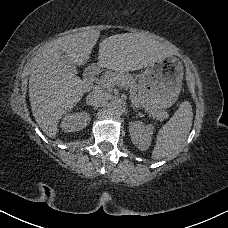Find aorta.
I'll use <instances>...</instances> for the list:
<instances>
[{
  "mask_svg": "<svg viewBox=\"0 0 228 228\" xmlns=\"http://www.w3.org/2000/svg\"><path fill=\"white\" fill-rule=\"evenodd\" d=\"M121 111H122V105L118 102H111L108 105V112L111 115L119 114L121 113Z\"/></svg>",
  "mask_w": 228,
  "mask_h": 228,
  "instance_id": "1",
  "label": "aorta"
}]
</instances>
